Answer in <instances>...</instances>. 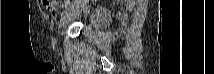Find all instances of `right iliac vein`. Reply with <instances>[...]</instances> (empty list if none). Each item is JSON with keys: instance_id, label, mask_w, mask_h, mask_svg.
<instances>
[{"instance_id": "63e3f726", "label": "right iliac vein", "mask_w": 214, "mask_h": 74, "mask_svg": "<svg viewBox=\"0 0 214 74\" xmlns=\"http://www.w3.org/2000/svg\"><path fill=\"white\" fill-rule=\"evenodd\" d=\"M86 6V2H83L81 4H78L77 6H73L67 13L66 15L63 16V18L61 19V26L66 25V23L77 17L80 12L82 11V9Z\"/></svg>"}]
</instances>
